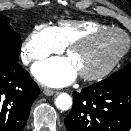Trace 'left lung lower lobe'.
Here are the masks:
<instances>
[{
    "label": "left lung lower lobe",
    "mask_w": 131,
    "mask_h": 131,
    "mask_svg": "<svg viewBox=\"0 0 131 131\" xmlns=\"http://www.w3.org/2000/svg\"><path fill=\"white\" fill-rule=\"evenodd\" d=\"M64 121L68 131L130 130L131 84L98 82L73 92V107Z\"/></svg>",
    "instance_id": "1"
}]
</instances>
